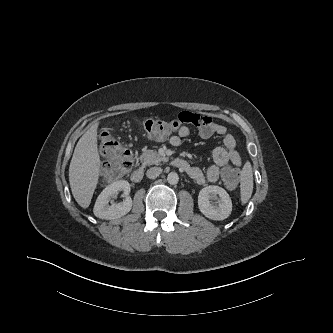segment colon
I'll return each instance as SVG.
<instances>
[{
    "label": "colon",
    "mask_w": 333,
    "mask_h": 333,
    "mask_svg": "<svg viewBox=\"0 0 333 333\" xmlns=\"http://www.w3.org/2000/svg\"><path fill=\"white\" fill-rule=\"evenodd\" d=\"M142 127L150 138L159 140L176 132L179 128V122L147 119L142 123ZM100 149L106 159L102 175L107 181L119 179L132 168L131 152L110 132L102 131L100 133ZM223 180L227 187H235L239 181V171L233 167H226L223 170Z\"/></svg>",
    "instance_id": "5ec220e1"
}]
</instances>
